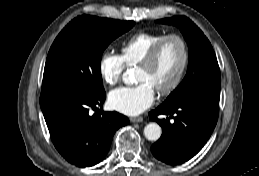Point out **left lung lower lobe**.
I'll return each mask as SVG.
<instances>
[{"label": "left lung lower lobe", "mask_w": 259, "mask_h": 176, "mask_svg": "<svg viewBox=\"0 0 259 176\" xmlns=\"http://www.w3.org/2000/svg\"><path fill=\"white\" fill-rule=\"evenodd\" d=\"M167 115L159 119L158 115ZM219 101L196 97L180 103L160 105L149 113L162 127L161 138L151 146L152 154L169 165L182 164L195 156L211 136L218 119ZM173 118V122L169 120Z\"/></svg>", "instance_id": "left-lung-lower-lobe-1"}]
</instances>
